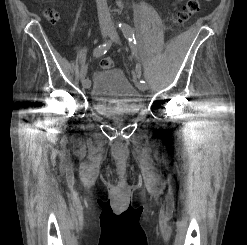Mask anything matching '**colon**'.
Instances as JSON below:
<instances>
[{
	"instance_id": "5ec220e1",
	"label": "colon",
	"mask_w": 247,
	"mask_h": 245,
	"mask_svg": "<svg viewBox=\"0 0 247 245\" xmlns=\"http://www.w3.org/2000/svg\"><path fill=\"white\" fill-rule=\"evenodd\" d=\"M200 9V0H186L185 3L180 7L176 14V22L178 24L186 23L190 18L195 15ZM46 17L55 21L58 18L57 13L54 10H47L45 12ZM100 66L103 69H108L113 66L112 59L105 57L100 61Z\"/></svg>"
}]
</instances>
